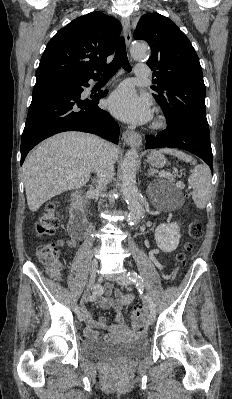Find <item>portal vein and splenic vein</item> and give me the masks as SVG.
Returning a JSON list of instances; mask_svg holds the SVG:
<instances>
[{"mask_svg": "<svg viewBox=\"0 0 232 399\" xmlns=\"http://www.w3.org/2000/svg\"><path fill=\"white\" fill-rule=\"evenodd\" d=\"M169 174H170V172H169ZM161 176H162V178H163V174H161ZM167 176H168V174H167Z\"/></svg>", "mask_w": 232, "mask_h": 399, "instance_id": "obj_1", "label": "portal vein and splenic vein"}]
</instances>
